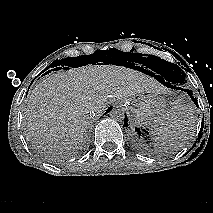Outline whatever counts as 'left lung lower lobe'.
Masks as SVG:
<instances>
[{
    "instance_id": "1",
    "label": "left lung lower lobe",
    "mask_w": 213,
    "mask_h": 213,
    "mask_svg": "<svg viewBox=\"0 0 213 213\" xmlns=\"http://www.w3.org/2000/svg\"><path fill=\"white\" fill-rule=\"evenodd\" d=\"M155 71L158 73V74H153V76L156 79H158L161 83L165 84L167 87L174 88V89H179V90H182V91H186L188 93V95L191 97V99L194 101V103L197 105V101L192 97L193 93L191 92V90L177 87L176 84H174L167 75H165L164 73H162L160 71H157V70H155ZM127 122H128V119H127V117L125 115L124 126H128Z\"/></svg>"
}]
</instances>
